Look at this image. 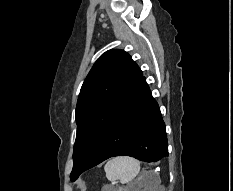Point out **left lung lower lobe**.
I'll use <instances>...</instances> for the list:
<instances>
[{"label":"left lung lower lobe","instance_id":"0a47b994","mask_svg":"<svg viewBox=\"0 0 233 191\" xmlns=\"http://www.w3.org/2000/svg\"><path fill=\"white\" fill-rule=\"evenodd\" d=\"M121 155L146 162L168 156L165 124L143 76L106 127L82 169L70 177L71 181L104 160Z\"/></svg>","mask_w":233,"mask_h":191}]
</instances>
